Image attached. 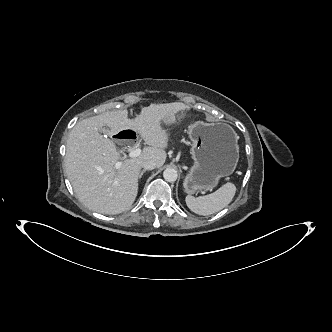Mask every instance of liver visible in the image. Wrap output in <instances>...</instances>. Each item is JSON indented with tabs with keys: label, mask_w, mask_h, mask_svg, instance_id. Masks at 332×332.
I'll list each match as a JSON object with an SVG mask.
<instances>
[{
	"label": "liver",
	"mask_w": 332,
	"mask_h": 332,
	"mask_svg": "<svg viewBox=\"0 0 332 332\" xmlns=\"http://www.w3.org/2000/svg\"><path fill=\"white\" fill-rule=\"evenodd\" d=\"M185 109L181 102L150 104L135 120L120 109L78 122L68 136L65 169L79 200L102 214L129 210L138 194L142 163L154 160L156 167H162L166 161L170 134L161 125L174 123ZM126 129L136 130L148 146L138 157L123 160L115 143L102 134L112 136ZM117 161L122 162L119 169Z\"/></svg>",
	"instance_id": "liver-1"
}]
</instances>
